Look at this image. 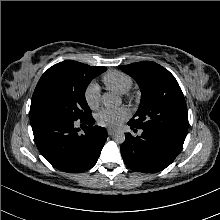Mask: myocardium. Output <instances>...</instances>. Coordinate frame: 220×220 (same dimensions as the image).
Listing matches in <instances>:
<instances>
[{
	"mask_svg": "<svg viewBox=\"0 0 220 220\" xmlns=\"http://www.w3.org/2000/svg\"><path fill=\"white\" fill-rule=\"evenodd\" d=\"M129 97V99H131L132 100V97L131 96H128Z\"/></svg>",
	"mask_w": 220,
	"mask_h": 220,
	"instance_id": "1",
	"label": "myocardium"
}]
</instances>
